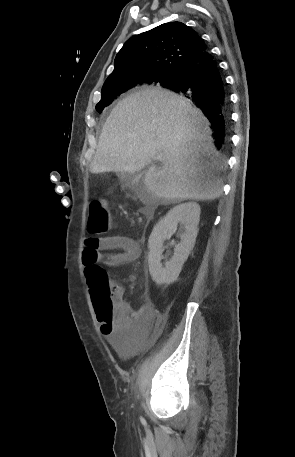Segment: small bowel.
<instances>
[{"mask_svg": "<svg viewBox=\"0 0 295 457\" xmlns=\"http://www.w3.org/2000/svg\"><path fill=\"white\" fill-rule=\"evenodd\" d=\"M140 255V247L136 240L128 236H89L85 238L83 264L101 262L109 268H116L135 261ZM118 300L116 314L110 322L98 319L101 332L107 338H132L145 326L152 314L151 304H145L139 310H133L123 300L124 290L115 286Z\"/></svg>", "mask_w": 295, "mask_h": 457, "instance_id": "obj_1", "label": "small bowel"}]
</instances>
